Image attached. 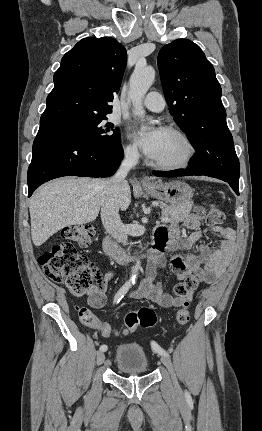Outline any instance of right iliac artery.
I'll return each mask as SVG.
<instances>
[{"instance_id": "82829eb1", "label": "right iliac artery", "mask_w": 262, "mask_h": 431, "mask_svg": "<svg viewBox=\"0 0 262 431\" xmlns=\"http://www.w3.org/2000/svg\"><path fill=\"white\" fill-rule=\"evenodd\" d=\"M130 287H131V283L130 282H126L120 288V290L117 292V294L115 295L114 303H119L120 300L123 298L124 294L129 290ZM106 350H107V346L106 345H101L100 346V351L105 352Z\"/></svg>"}]
</instances>
